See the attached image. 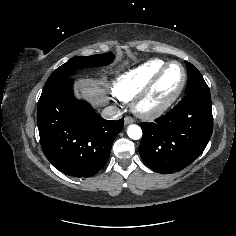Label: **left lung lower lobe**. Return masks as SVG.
I'll use <instances>...</instances> for the list:
<instances>
[{
  "label": "left lung lower lobe",
  "mask_w": 236,
  "mask_h": 236,
  "mask_svg": "<svg viewBox=\"0 0 236 236\" xmlns=\"http://www.w3.org/2000/svg\"><path fill=\"white\" fill-rule=\"evenodd\" d=\"M142 160L154 171L173 173L191 164L205 149L213 131L209 89L193 91L153 123H141Z\"/></svg>",
  "instance_id": "left-lung-lower-lobe-1"
}]
</instances>
